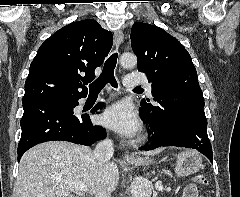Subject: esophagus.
Listing matches in <instances>:
<instances>
[{"label": "esophagus", "mask_w": 240, "mask_h": 197, "mask_svg": "<svg viewBox=\"0 0 240 197\" xmlns=\"http://www.w3.org/2000/svg\"><path fill=\"white\" fill-rule=\"evenodd\" d=\"M122 42H123V32L121 30H116L115 33H114V46H115V48L118 49L120 47V45L122 44ZM124 158L126 160H134L135 156L131 155V154H128V153H125Z\"/></svg>", "instance_id": "34e87169"}]
</instances>
